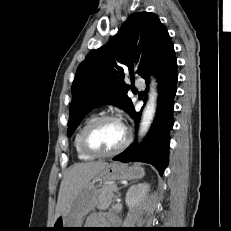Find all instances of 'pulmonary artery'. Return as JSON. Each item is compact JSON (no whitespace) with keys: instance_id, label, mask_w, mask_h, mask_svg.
Returning a JSON list of instances; mask_svg holds the SVG:
<instances>
[{"instance_id":"1","label":"pulmonary artery","mask_w":231,"mask_h":231,"mask_svg":"<svg viewBox=\"0 0 231 231\" xmlns=\"http://www.w3.org/2000/svg\"><path fill=\"white\" fill-rule=\"evenodd\" d=\"M134 86L137 88V89H143L144 88V82L143 80L141 79H137L134 83Z\"/></svg>"}]
</instances>
